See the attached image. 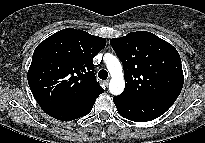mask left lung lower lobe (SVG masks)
I'll use <instances>...</instances> for the list:
<instances>
[{
    "mask_svg": "<svg viewBox=\"0 0 205 143\" xmlns=\"http://www.w3.org/2000/svg\"><path fill=\"white\" fill-rule=\"evenodd\" d=\"M175 97H161L146 101H132L115 96L113 101L119 114L134 122H147L164 114L175 102Z\"/></svg>",
    "mask_w": 205,
    "mask_h": 143,
    "instance_id": "1",
    "label": "left lung lower lobe"
}]
</instances>
